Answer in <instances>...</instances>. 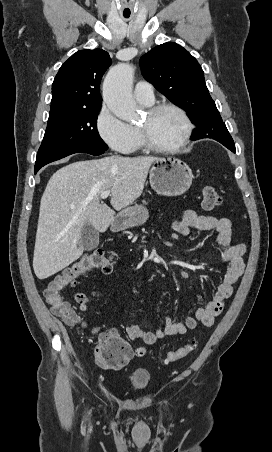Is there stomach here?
Segmentation results:
<instances>
[{
    "label": "stomach",
    "instance_id": "obj_1",
    "mask_svg": "<svg viewBox=\"0 0 272 452\" xmlns=\"http://www.w3.org/2000/svg\"><path fill=\"white\" fill-rule=\"evenodd\" d=\"M193 174L189 166L178 158H158L149 172L152 189L159 195L174 197L185 193L191 186ZM149 217L148 210L135 205L120 216V228L142 225Z\"/></svg>",
    "mask_w": 272,
    "mask_h": 452
}]
</instances>
